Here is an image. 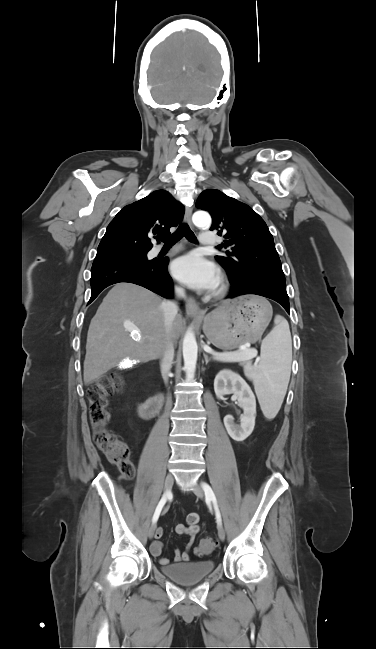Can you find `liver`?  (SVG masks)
I'll return each instance as SVG.
<instances>
[{
	"mask_svg": "<svg viewBox=\"0 0 376 649\" xmlns=\"http://www.w3.org/2000/svg\"><path fill=\"white\" fill-rule=\"evenodd\" d=\"M163 301L132 283L116 284L103 299L89 325L84 360V383L90 384L130 358L147 362L163 355L167 333ZM133 324L135 337L127 329ZM183 327L181 314L173 320L169 338L176 343Z\"/></svg>",
	"mask_w": 376,
	"mask_h": 649,
	"instance_id": "liver-1",
	"label": "liver"
}]
</instances>
